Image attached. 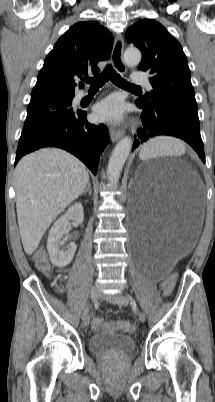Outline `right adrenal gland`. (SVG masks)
Segmentation results:
<instances>
[{
    "label": "right adrenal gland",
    "instance_id": "obj_1",
    "mask_svg": "<svg viewBox=\"0 0 215 402\" xmlns=\"http://www.w3.org/2000/svg\"><path fill=\"white\" fill-rule=\"evenodd\" d=\"M87 192L89 193V195H91L92 190H91V184H90L89 181H88V183H87V186H86L85 190L82 192L81 195H84V194H86Z\"/></svg>",
    "mask_w": 215,
    "mask_h": 402
}]
</instances>
